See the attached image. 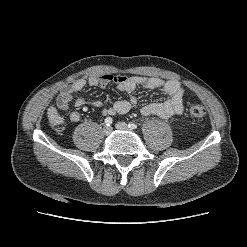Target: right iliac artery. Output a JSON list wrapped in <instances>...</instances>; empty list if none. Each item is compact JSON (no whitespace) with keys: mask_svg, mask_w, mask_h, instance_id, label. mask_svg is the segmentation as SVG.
<instances>
[{"mask_svg":"<svg viewBox=\"0 0 247 247\" xmlns=\"http://www.w3.org/2000/svg\"><path fill=\"white\" fill-rule=\"evenodd\" d=\"M112 123H113V119H112L111 117H107V118L105 119V124H106L107 126H110Z\"/></svg>","mask_w":247,"mask_h":247,"instance_id":"obj_1","label":"right iliac artery"}]
</instances>
